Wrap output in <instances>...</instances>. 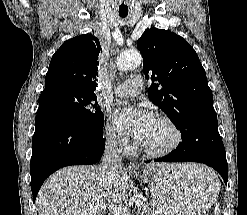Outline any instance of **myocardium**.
<instances>
[{"label":"myocardium","mask_w":247,"mask_h":215,"mask_svg":"<svg viewBox=\"0 0 247 215\" xmlns=\"http://www.w3.org/2000/svg\"><path fill=\"white\" fill-rule=\"evenodd\" d=\"M157 120L163 123L164 125H166L170 129V131L172 132L173 138L169 145H167L166 147L162 149H157V150L149 149L143 146L142 144H140V142H137V146L139 150L145 156L149 158L165 157L171 154L172 152H174L182 142V133L180 129L178 128V126L176 125V123L171 118L164 116V115H159L157 116Z\"/></svg>","instance_id":"1"}]
</instances>
